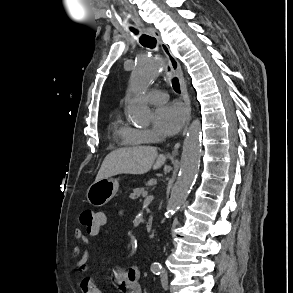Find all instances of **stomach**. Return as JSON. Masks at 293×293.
<instances>
[{
  "label": "stomach",
  "instance_id": "1",
  "mask_svg": "<svg viewBox=\"0 0 293 293\" xmlns=\"http://www.w3.org/2000/svg\"><path fill=\"white\" fill-rule=\"evenodd\" d=\"M118 188L119 183L113 178L95 181L87 190V200L93 206H104L116 195Z\"/></svg>",
  "mask_w": 293,
  "mask_h": 293
}]
</instances>
